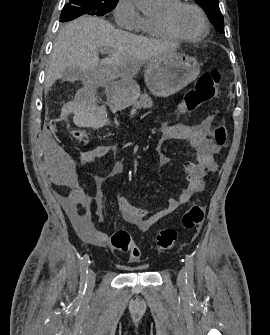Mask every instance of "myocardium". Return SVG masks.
<instances>
[{
    "mask_svg": "<svg viewBox=\"0 0 270 335\" xmlns=\"http://www.w3.org/2000/svg\"><path fill=\"white\" fill-rule=\"evenodd\" d=\"M182 5H189L198 12L202 20V23H203V31L201 33L195 34V35H186V34L181 33L179 30L175 28L174 22H173L174 16ZM156 21L167 34H169L170 36L174 38H178L181 40L194 41V40L201 39L209 33V28H210L207 17L202 11V9L191 1L176 2L173 5L164 8L162 10V14L156 18ZM188 78H191V77H188Z\"/></svg>",
    "mask_w": 270,
    "mask_h": 335,
    "instance_id": "obj_1",
    "label": "myocardium"
}]
</instances>
